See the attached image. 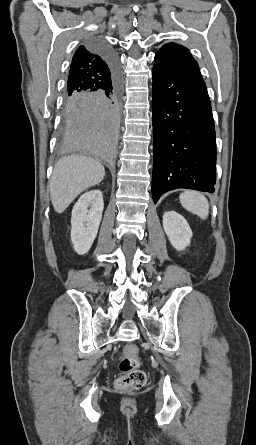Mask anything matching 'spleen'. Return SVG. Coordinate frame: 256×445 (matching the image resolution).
Returning <instances> with one entry per match:
<instances>
[{
	"label": "spleen",
	"instance_id": "3e777b00",
	"mask_svg": "<svg viewBox=\"0 0 256 445\" xmlns=\"http://www.w3.org/2000/svg\"><path fill=\"white\" fill-rule=\"evenodd\" d=\"M180 203L182 206L198 215L201 219H206L209 214V203L206 197L198 192L185 191L180 194Z\"/></svg>",
	"mask_w": 256,
	"mask_h": 445
}]
</instances>
